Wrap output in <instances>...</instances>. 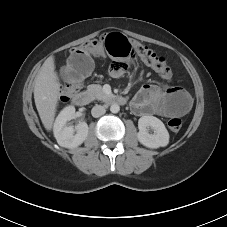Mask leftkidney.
Segmentation results:
<instances>
[{"label": "left kidney", "instance_id": "left-kidney-1", "mask_svg": "<svg viewBox=\"0 0 227 227\" xmlns=\"http://www.w3.org/2000/svg\"><path fill=\"white\" fill-rule=\"evenodd\" d=\"M138 128L137 138L142 145L148 148L165 147L169 143V133L165 125L154 116H142L138 120ZM149 128L153 129V134L149 133Z\"/></svg>", "mask_w": 227, "mask_h": 227}]
</instances>
